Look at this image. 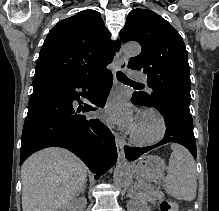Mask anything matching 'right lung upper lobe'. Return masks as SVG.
<instances>
[{"mask_svg":"<svg viewBox=\"0 0 219 211\" xmlns=\"http://www.w3.org/2000/svg\"><path fill=\"white\" fill-rule=\"evenodd\" d=\"M119 48V40L109 39L99 12L81 11L49 32L33 80L95 76L112 62Z\"/></svg>","mask_w":219,"mask_h":211,"instance_id":"obj_1","label":"right lung upper lobe"}]
</instances>
